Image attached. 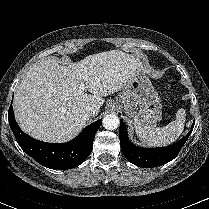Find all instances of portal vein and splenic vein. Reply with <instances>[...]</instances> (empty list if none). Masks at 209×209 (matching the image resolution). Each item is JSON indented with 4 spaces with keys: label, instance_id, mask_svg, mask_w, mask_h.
<instances>
[{
    "label": "portal vein and splenic vein",
    "instance_id": "obj_1",
    "mask_svg": "<svg viewBox=\"0 0 209 209\" xmlns=\"http://www.w3.org/2000/svg\"><path fill=\"white\" fill-rule=\"evenodd\" d=\"M80 88H81L82 90H84V85H82Z\"/></svg>",
    "mask_w": 209,
    "mask_h": 209
}]
</instances>
